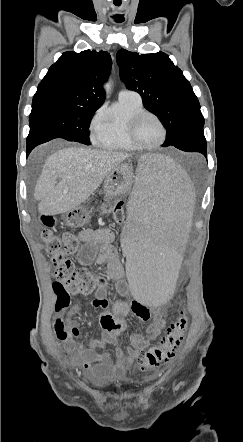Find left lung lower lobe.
<instances>
[{
	"mask_svg": "<svg viewBox=\"0 0 243 442\" xmlns=\"http://www.w3.org/2000/svg\"><path fill=\"white\" fill-rule=\"evenodd\" d=\"M172 146L187 152H200L207 158V144L203 127L192 130Z\"/></svg>",
	"mask_w": 243,
	"mask_h": 442,
	"instance_id": "obj_1",
	"label": "left lung lower lobe"
}]
</instances>
